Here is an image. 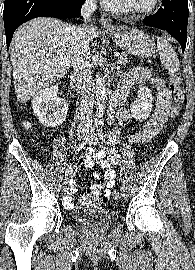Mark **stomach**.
Segmentation results:
<instances>
[{"mask_svg":"<svg viewBox=\"0 0 195 270\" xmlns=\"http://www.w3.org/2000/svg\"><path fill=\"white\" fill-rule=\"evenodd\" d=\"M108 32L114 37L120 48L140 58L150 57L155 52L153 39L142 30L121 27Z\"/></svg>","mask_w":195,"mask_h":270,"instance_id":"1","label":"stomach"}]
</instances>
